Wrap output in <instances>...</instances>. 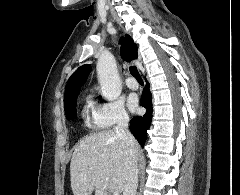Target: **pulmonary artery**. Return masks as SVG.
I'll return each mask as SVG.
<instances>
[{
    "label": "pulmonary artery",
    "mask_w": 240,
    "mask_h": 195,
    "mask_svg": "<svg viewBox=\"0 0 240 195\" xmlns=\"http://www.w3.org/2000/svg\"><path fill=\"white\" fill-rule=\"evenodd\" d=\"M126 84L132 89H137L139 87L138 82L135 79L128 78L126 79Z\"/></svg>",
    "instance_id": "pulmonary-artery-1"
}]
</instances>
